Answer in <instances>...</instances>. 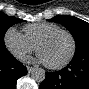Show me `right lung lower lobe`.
<instances>
[{
	"mask_svg": "<svg viewBox=\"0 0 89 89\" xmlns=\"http://www.w3.org/2000/svg\"><path fill=\"white\" fill-rule=\"evenodd\" d=\"M26 74V67L7 49L0 51V89H15L17 79Z\"/></svg>",
	"mask_w": 89,
	"mask_h": 89,
	"instance_id": "1",
	"label": "right lung lower lobe"
}]
</instances>
